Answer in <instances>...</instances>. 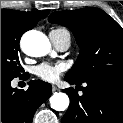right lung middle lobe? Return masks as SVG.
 <instances>
[{
  "label": "right lung middle lobe",
  "instance_id": "dd1d6c3e",
  "mask_svg": "<svg viewBox=\"0 0 123 123\" xmlns=\"http://www.w3.org/2000/svg\"><path fill=\"white\" fill-rule=\"evenodd\" d=\"M26 31L18 19L1 14V80H12L24 72L19 62V42Z\"/></svg>",
  "mask_w": 123,
  "mask_h": 123
}]
</instances>
